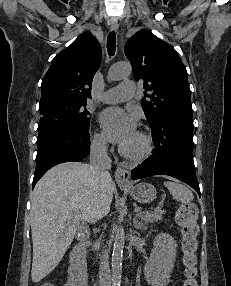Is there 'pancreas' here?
<instances>
[{
    "instance_id": "obj_1",
    "label": "pancreas",
    "mask_w": 231,
    "mask_h": 286,
    "mask_svg": "<svg viewBox=\"0 0 231 286\" xmlns=\"http://www.w3.org/2000/svg\"><path fill=\"white\" fill-rule=\"evenodd\" d=\"M164 213H165L164 210H162L161 208H157L153 212H148V211L139 212L138 216L141 217V219L144 220L145 223H148V222L162 220V215ZM99 245H100V242L97 241L94 247L98 248Z\"/></svg>"
}]
</instances>
